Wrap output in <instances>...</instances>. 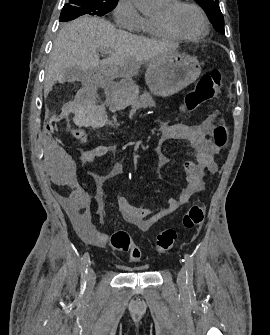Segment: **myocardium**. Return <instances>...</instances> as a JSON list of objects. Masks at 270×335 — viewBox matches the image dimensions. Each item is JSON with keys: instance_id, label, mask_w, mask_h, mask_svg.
<instances>
[{"instance_id": "1", "label": "myocardium", "mask_w": 270, "mask_h": 335, "mask_svg": "<svg viewBox=\"0 0 270 335\" xmlns=\"http://www.w3.org/2000/svg\"><path fill=\"white\" fill-rule=\"evenodd\" d=\"M181 5H189L197 11V13L199 14L201 18L202 24H203V29L200 33L193 34V35H186V34L179 32L178 30L174 28L172 24V18ZM155 21L158 24V26L166 34H168L169 36L173 38H177L181 40H190V41L197 40V39H200L206 36L209 31V23H208V20L204 12L201 10V8L197 4H195L192 1L175 2L168 7H164L163 15L159 18H156ZM189 78H195V77H189Z\"/></svg>"}]
</instances>
